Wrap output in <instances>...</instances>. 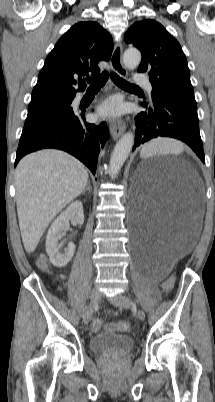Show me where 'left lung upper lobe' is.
<instances>
[{
	"instance_id": "obj_1",
	"label": "left lung upper lobe",
	"mask_w": 215,
	"mask_h": 402,
	"mask_svg": "<svg viewBox=\"0 0 215 402\" xmlns=\"http://www.w3.org/2000/svg\"><path fill=\"white\" fill-rule=\"evenodd\" d=\"M126 43L141 51L138 72L149 74L152 96L177 102L197 110L190 71L178 41L158 22H135L125 33Z\"/></svg>"
}]
</instances>
